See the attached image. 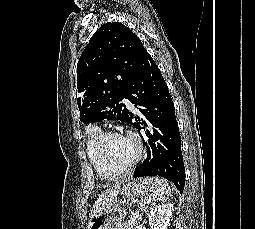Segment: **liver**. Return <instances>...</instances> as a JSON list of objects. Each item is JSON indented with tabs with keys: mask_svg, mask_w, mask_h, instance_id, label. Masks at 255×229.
I'll list each match as a JSON object with an SVG mask.
<instances>
[{
	"mask_svg": "<svg viewBox=\"0 0 255 229\" xmlns=\"http://www.w3.org/2000/svg\"><path fill=\"white\" fill-rule=\"evenodd\" d=\"M120 187L121 183H116L111 188L104 190L95 201L89 217H93L97 213L101 212L105 207L113 203L114 199H116L119 194Z\"/></svg>",
	"mask_w": 255,
	"mask_h": 229,
	"instance_id": "obj_1",
	"label": "liver"
}]
</instances>
